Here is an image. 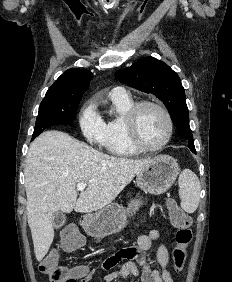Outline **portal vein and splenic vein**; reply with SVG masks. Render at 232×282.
Segmentation results:
<instances>
[{"label":"portal vein and splenic vein","mask_w":232,"mask_h":282,"mask_svg":"<svg viewBox=\"0 0 232 282\" xmlns=\"http://www.w3.org/2000/svg\"><path fill=\"white\" fill-rule=\"evenodd\" d=\"M86 186H87V183H85V182L78 183L77 184V190L78 191H83Z\"/></svg>","instance_id":"portal-vein-and-splenic-vein-1"}]
</instances>
